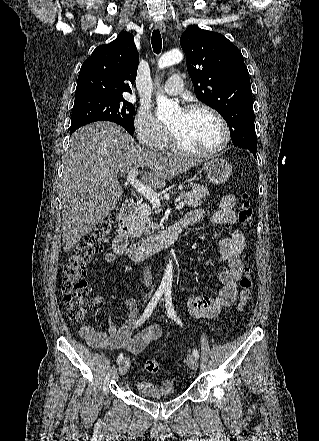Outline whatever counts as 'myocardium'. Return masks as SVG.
<instances>
[{"instance_id": "myocardium-1", "label": "myocardium", "mask_w": 319, "mask_h": 441, "mask_svg": "<svg viewBox=\"0 0 319 441\" xmlns=\"http://www.w3.org/2000/svg\"><path fill=\"white\" fill-rule=\"evenodd\" d=\"M198 110H204V111L212 114L217 119V121L221 125L222 131H223V138H222L221 143L218 146H216L215 148L207 150V151H193V150H190V149L184 147L179 142V140L177 139L175 134L169 129L170 143H171L173 150L178 154H181L184 156H189V157H196V158H207V157H211V156L218 154L228 145V143L230 141V130H229L228 123L225 120V118L222 116V114L219 111H217L215 108H213L207 104L193 103V104L186 106L184 108L183 112L191 113V112H195Z\"/></svg>"}]
</instances>
